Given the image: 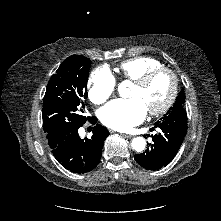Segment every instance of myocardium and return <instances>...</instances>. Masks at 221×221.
I'll use <instances>...</instances> for the list:
<instances>
[{"label":"myocardium","mask_w":221,"mask_h":221,"mask_svg":"<svg viewBox=\"0 0 221 221\" xmlns=\"http://www.w3.org/2000/svg\"><path fill=\"white\" fill-rule=\"evenodd\" d=\"M162 73L168 74L170 79H171L170 93H169L166 101L160 107L148 110V113L151 116L162 115V114L166 113L171 108V106L175 102V99H176L177 94H178V85H179L178 77L172 69L167 68V67H159V68L153 69V70L145 73L140 78H138L137 80L134 81V85H136L138 87H145L155 77H157L158 75H160Z\"/></svg>","instance_id":"obj_1"}]
</instances>
